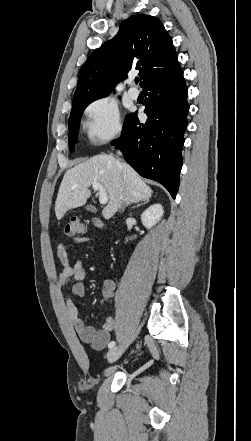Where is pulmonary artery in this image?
<instances>
[{
	"label": "pulmonary artery",
	"instance_id": "pulmonary-artery-1",
	"mask_svg": "<svg viewBox=\"0 0 251 441\" xmlns=\"http://www.w3.org/2000/svg\"><path fill=\"white\" fill-rule=\"evenodd\" d=\"M129 83L131 84V87L128 90V95L130 98L136 100L139 97V90L136 87L132 86L133 85L132 79L129 80Z\"/></svg>",
	"mask_w": 251,
	"mask_h": 441
}]
</instances>
